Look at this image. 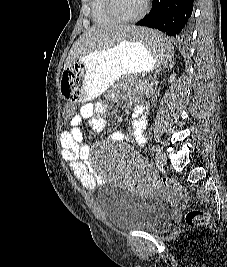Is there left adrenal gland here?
Returning <instances> with one entry per match:
<instances>
[{"label":"left adrenal gland","mask_w":227,"mask_h":267,"mask_svg":"<svg viewBox=\"0 0 227 267\" xmlns=\"http://www.w3.org/2000/svg\"><path fill=\"white\" fill-rule=\"evenodd\" d=\"M172 66H173V63H172V64L170 63V65H165L163 68H159L158 70H156V71L154 72V75H153V79H152L151 85H153L154 83H156L157 75L159 74L160 71H162V70H164V69H166V68H168V67H172Z\"/></svg>","instance_id":"a2214340"}]
</instances>
